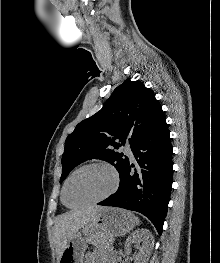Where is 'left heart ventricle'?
<instances>
[{
	"label": "left heart ventricle",
	"mask_w": 220,
	"mask_h": 263,
	"mask_svg": "<svg viewBox=\"0 0 220 263\" xmlns=\"http://www.w3.org/2000/svg\"><path fill=\"white\" fill-rule=\"evenodd\" d=\"M112 183V175L106 168L99 166L85 168L70 180L66 201L70 205H75L98 198L109 191Z\"/></svg>",
	"instance_id": "left-heart-ventricle-1"
}]
</instances>
